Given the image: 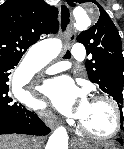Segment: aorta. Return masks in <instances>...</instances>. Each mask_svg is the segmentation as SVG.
Returning <instances> with one entry per match:
<instances>
[{
  "mask_svg": "<svg viewBox=\"0 0 124 149\" xmlns=\"http://www.w3.org/2000/svg\"><path fill=\"white\" fill-rule=\"evenodd\" d=\"M74 27L78 30H84L90 26L91 20L83 9H77L74 12ZM44 46L59 51L61 41L59 39H50L43 43ZM31 61L25 60L14 73L13 87H21L29 75ZM45 149H68V134L64 127H58L50 136Z\"/></svg>",
  "mask_w": 124,
  "mask_h": 149,
  "instance_id": "1",
  "label": "aorta"
}]
</instances>
